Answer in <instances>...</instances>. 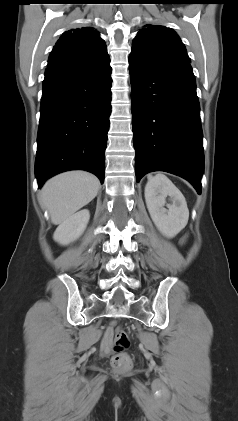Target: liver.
<instances>
[{
	"label": "liver",
	"instance_id": "1",
	"mask_svg": "<svg viewBox=\"0 0 238 421\" xmlns=\"http://www.w3.org/2000/svg\"><path fill=\"white\" fill-rule=\"evenodd\" d=\"M100 182L84 171H71L49 179L40 193L41 205L53 224H61L97 195Z\"/></svg>",
	"mask_w": 238,
	"mask_h": 421
}]
</instances>
